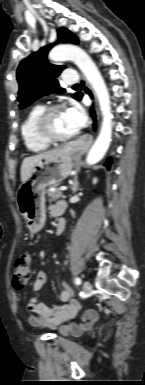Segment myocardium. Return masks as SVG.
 Segmentation results:
<instances>
[{
  "label": "myocardium",
  "instance_id": "myocardium-1",
  "mask_svg": "<svg viewBox=\"0 0 145 385\" xmlns=\"http://www.w3.org/2000/svg\"><path fill=\"white\" fill-rule=\"evenodd\" d=\"M60 110H63L62 105L56 104V105L48 106V107L44 108V110L39 115V117L36 121L35 129H36L37 135L42 140H44L45 142H47L49 144L68 142L78 135V133L75 132L74 134H72L70 136L58 137V136H55L51 132L50 120H51L52 116L54 115V113H56L57 111H60Z\"/></svg>",
  "mask_w": 145,
  "mask_h": 385
}]
</instances>
